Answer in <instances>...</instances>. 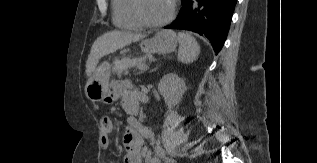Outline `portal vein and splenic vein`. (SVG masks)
<instances>
[{
	"instance_id": "1",
	"label": "portal vein and splenic vein",
	"mask_w": 317,
	"mask_h": 163,
	"mask_svg": "<svg viewBox=\"0 0 317 163\" xmlns=\"http://www.w3.org/2000/svg\"><path fill=\"white\" fill-rule=\"evenodd\" d=\"M138 68H139V69H141V70H143V69H146V68H147V66H145V65H141V66H139Z\"/></svg>"
}]
</instances>
